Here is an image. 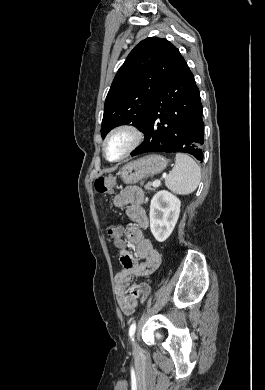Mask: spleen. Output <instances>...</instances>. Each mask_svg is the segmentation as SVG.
Listing matches in <instances>:
<instances>
[{"label": "spleen", "instance_id": "obj_1", "mask_svg": "<svg viewBox=\"0 0 265 390\" xmlns=\"http://www.w3.org/2000/svg\"><path fill=\"white\" fill-rule=\"evenodd\" d=\"M201 179V170L198 164L188 155L176 154L175 166L166 177L165 185L171 191L188 195L194 192Z\"/></svg>", "mask_w": 265, "mask_h": 390}]
</instances>
